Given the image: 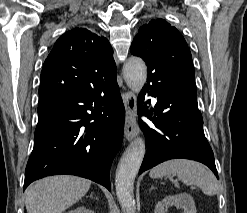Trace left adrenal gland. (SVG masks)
Instances as JSON below:
<instances>
[{
  "label": "left adrenal gland",
  "mask_w": 247,
  "mask_h": 213,
  "mask_svg": "<svg viewBox=\"0 0 247 213\" xmlns=\"http://www.w3.org/2000/svg\"><path fill=\"white\" fill-rule=\"evenodd\" d=\"M153 189H156V188L154 186H151L150 191L153 190Z\"/></svg>",
  "instance_id": "obj_1"
}]
</instances>
